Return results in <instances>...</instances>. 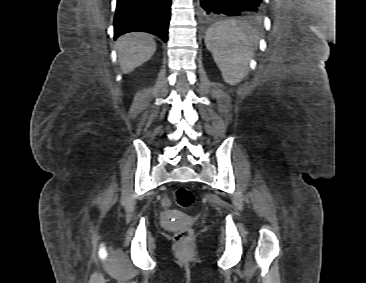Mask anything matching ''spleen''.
<instances>
[{"mask_svg": "<svg viewBox=\"0 0 366 283\" xmlns=\"http://www.w3.org/2000/svg\"><path fill=\"white\" fill-rule=\"evenodd\" d=\"M255 36L256 32L250 25L236 20L217 22L207 30L206 47L226 83L236 85L248 74Z\"/></svg>", "mask_w": 366, "mask_h": 283, "instance_id": "3e777b00", "label": "spleen"}]
</instances>
